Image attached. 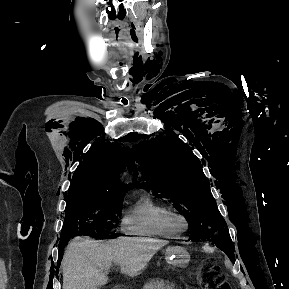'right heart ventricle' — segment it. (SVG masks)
<instances>
[{
	"mask_svg": "<svg viewBox=\"0 0 289 289\" xmlns=\"http://www.w3.org/2000/svg\"><path fill=\"white\" fill-rule=\"evenodd\" d=\"M166 210L167 207L156 201L151 193L144 192L124 209L122 228L130 235L175 238L178 234L171 231L163 220Z\"/></svg>",
	"mask_w": 289,
	"mask_h": 289,
	"instance_id": "e07e8e85",
	"label": "right heart ventricle"
}]
</instances>
